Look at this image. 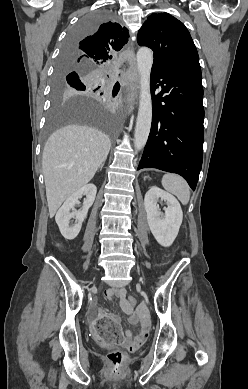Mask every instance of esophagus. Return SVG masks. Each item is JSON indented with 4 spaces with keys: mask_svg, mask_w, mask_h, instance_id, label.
I'll return each mask as SVG.
<instances>
[{
    "mask_svg": "<svg viewBox=\"0 0 248 389\" xmlns=\"http://www.w3.org/2000/svg\"><path fill=\"white\" fill-rule=\"evenodd\" d=\"M129 52L134 55L133 47L130 48ZM138 100V75L136 72L133 73L132 83L128 87V94L126 98V108L128 113H130L134 106L137 104Z\"/></svg>",
    "mask_w": 248,
    "mask_h": 389,
    "instance_id": "1",
    "label": "esophagus"
}]
</instances>
